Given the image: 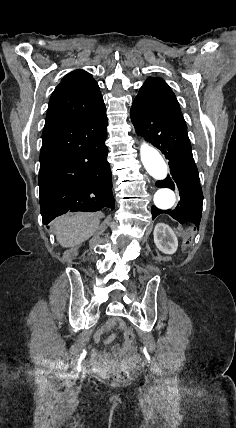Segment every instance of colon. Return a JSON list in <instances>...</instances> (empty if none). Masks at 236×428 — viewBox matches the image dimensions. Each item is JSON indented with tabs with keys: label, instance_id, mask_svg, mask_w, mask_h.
<instances>
[{
	"label": "colon",
	"instance_id": "1",
	"mask_svg": "<svg viewBox=\"0 0 236 428\" xmlns=\"http://www.w3.org/2000/svg\"><path fill=\"white\" fill-rule=\"evenodd\" d=\"M124 338L127 344H132L135 340V335L132 331L126 330L124 333ZM113 378L118 383H125L130 380L131 374L127 367L121 366L115 369Z\"/></svg>",
	"mask_w": 236,
	"mask_h": 428
}]
</instances>
